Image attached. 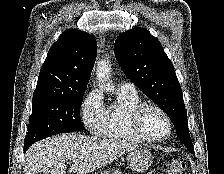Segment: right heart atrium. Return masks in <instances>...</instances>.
I'll list each match as a JSON object with an SVG mask.
<instances>
[{"instance_id":"right-heart-atrium-1","label":"right heart atrium","mask_w":224,"mask_h":174,"mask_svg":"<svg viewBox=\"0 0 224 174\" xmlns=\"http://www.w3.org/2000/svg\"><path fill=\"white\" fill-rule=\"evenodd\" d=\"M104 115L101 93L93 89L87 93L81 104V118L85 127L92 133H98Z\"/></svg>"}]
</instances>
